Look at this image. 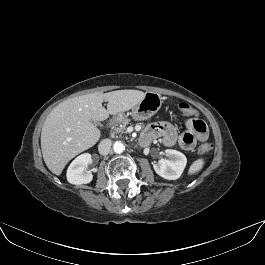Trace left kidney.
<instances>
[{"label":"left kidney","mask_w":265,"mask_h":265,"mask_svg":"<svg viewBox=\"0 0 265 265\" xmlns=\"http://www.w3.org/2000/svg\"><path fill=\"white\" fill-rule=\"evenodd\" d=\"M165 155L167 159H160L157 164H154L153 168L162 178L176 180L183 173L187 158L183 153L172 149L165 150Z\"/></svg>","instance_id":"obj_1"}]
</instances>
